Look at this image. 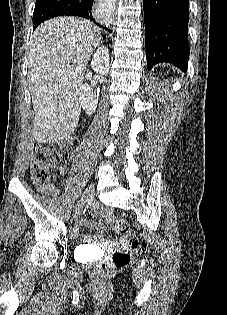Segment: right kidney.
<instances>
[{"mask_svg": "<svg viewBox=\"0 0 227 315\" xmlns=\"http://www.w3.org/2000/svg\"><path fill=\"white\" fill-rule=\"evenodd\" d=\"M91 66L93 70L101 75L106 76L109 73V51L107 47H100L93 55ZM92 73H87V78L91 79ZM99 94L95 93L91 85L84 84L81 87L80 101L82 108L87 115H92L98 104Z\"/></svg>", "mask_w": 227, "mask_h": 315, "instance_id": "1", "label": "right kidney"}]
</instances>
